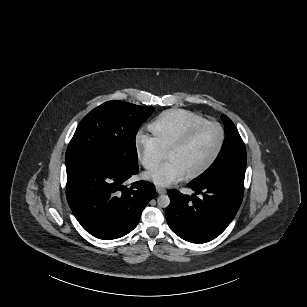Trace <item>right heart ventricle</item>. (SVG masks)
I'll list each match as a JSON object with an SVG mask.
<instances>
[{
  "mask_svg": "<svg viewBox=\"0 0 307 307\" xmlns=\"http://www.w3.org/2000/svg\"><path fill=\"white\" fill-rule=\"evenodd\" d=\"M205 122L202 116L192 111L174 108L162 112L149 128L152 138L165 151L174 141Z\"/></svg>",
  "mask_w": 307,
  "mask_h": 307,
  "instance_id": "obj_1",
  "label": "right heart ventricle"
}]
</instances>
